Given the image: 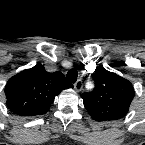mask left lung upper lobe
<instances>
[{"label": "left lung upper lobe", "instance_id": "left-lung-upper-lobe-1", "mask_svg": "<svg viewBox=\"0 0 145 145\" xmlns=\"http://www.w3.org/2000/svg\"><path fill=\"white\" fill-rule=\"evenodd\" d=\"M92 77L94 90L81 95L90 116L98 122L124 117L134 97L131 82L103 67L96 68Z\"/></svg>", "mask_w": 145, "mask_h": 145}]
</instances>
